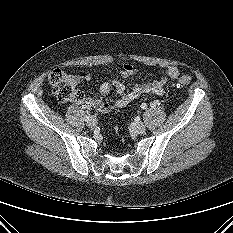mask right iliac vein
<instances>
[{"label":"right iliac vein","instance_id":"63e3f726","mask_svg":"<svg viewBox=\"0 0 233 233\" xmlns=\"http://www.w3.org/2000/svg\"><path fill=\"white\" fill-rule=\"evenodd\" d=\"M96 125H97V120L94 117H91V119L87 121V126L89 128H94Z\"/></svg>","mask_w":233,"mask_h":233}]
</instances>
